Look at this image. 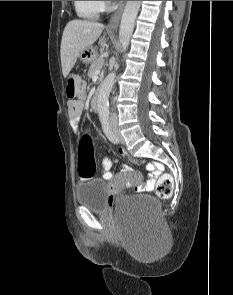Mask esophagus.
<instances>
[{"label": "esophagus", "instance_id": "1", "mask_svg": "<svg viewBox=\"0 0 233 295\" xmlns=\"http://www.w3.org/2000/svg\"><path fill=\"white\" fill-rule=\"evenodd\" d=\"M126 1H121L120 6L115 11V13L112 15L110 23L107 26L108 31H115L118 28L121 15L123 13L124 7H125Z\"/></svg>", "mask_w": 233, "mask_h": 295}]
</instances>
